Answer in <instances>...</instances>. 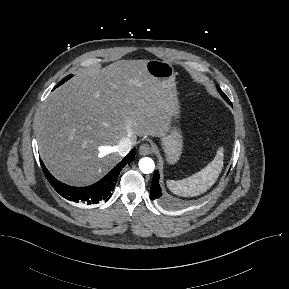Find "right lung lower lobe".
I'll return each instance as SVG.
<instances>
[{"label": "right lung lower lobe", "instance_id": "1", "mask_svg": "<svg viewBox=\"0 0 289 289\" xmlns=\"http://www.w3.org/2000/svg\"><path fill=\"white\" fill-rule=\"evenodd\" d=\"M135 149L117 164L104 178L97 183L86 187H72L56 180L50 172L46 169L43 162H41L42 170L50 182L51 186L64 198L69 201L84 204H96L107 199L111 191H113L118 176L127 163L134 160Z\"/></svg>", "mask_w": 289, "mask_h": 289}]
</instances>
